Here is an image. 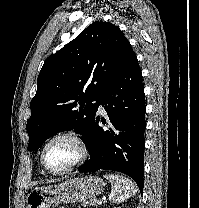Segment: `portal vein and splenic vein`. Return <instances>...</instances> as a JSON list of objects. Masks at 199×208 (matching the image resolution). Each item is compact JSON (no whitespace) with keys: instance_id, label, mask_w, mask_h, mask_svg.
I'll list each match as a JSON object with an SVG mask.
<instances>
[{"instance_id":"1","label":"portal vein and splenic vein","mask_w":199,"mask_h":208,"mask_svg":"<svg viewBox=\"0 0 199 208\" xmlns=\"http://www.w3.org/2000/svg\"><path fill=\"white\" fill-rule=\"evenodd\" d=\"M97 204H98V205H101V204H102V202H101V201H97Z\"/></svg>"}]
</instances>
